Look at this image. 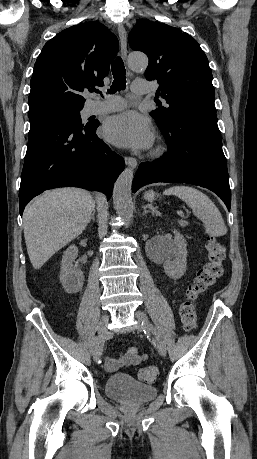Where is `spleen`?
Listing matches in <instances>:
<instances>
[{"label":"spleen","instance_id":"1","mask_svg":"<svg viewBox=\"0 0 257 459\" xmlns=\"http://www.w3.org/2000/svg\"><path fill=\"white\" fill-rule=\"evenodd\" d=\"M165 194L175 195L182 199L193 214L205 224L209 236L220 237L227 233L224 220L212 200L203 192L190 186H173Z\"/></svg>","mask_w":257,"mask_h":459}]
</instances>
